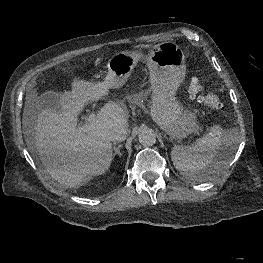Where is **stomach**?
<instances>
[{
	"label": "stomach",
	"mask_w": 263,
	"mask_h": 263,
	"mask_svg": "<svg viewBox=\"0 0 263 263\" xmlns=\"http://www.w3.org/2000/svg\"><path fill=\"white\" fill-rule=\"evenodd\" d=\"M140 60L147 63L150 72L152 119L172 138L182 139L196 132V115L184 110L175 97L186 72L185 54L175 42L159 43L147 55L140 51L115 53L108 60L103 82L110 88H120Z\"/></svg>",
	"instance_id": "stomach-1"
}]
</instances>
